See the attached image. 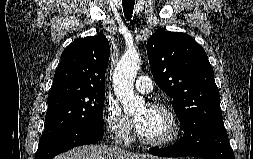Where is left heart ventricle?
<instances>
[{"label":"left heart ventricle","instance_id":"left-heart-ventricle-1","mask_svg":"<svg viewBox=\"0 0 253 159\" xmlns=\"http://www.w3.org/2000/svg\"><path fill=\"white\" fill-rule=\"evenodd\" d=\"M135 119L140 122L139 131L148 139L159 140L172 133L170 118L162 110L143 107L136 113Z\"/></svg>","mask_w":253,"mask_h":159}]
</instances>
